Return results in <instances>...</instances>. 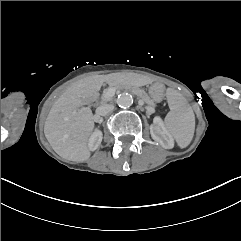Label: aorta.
<instances>
[{
    "label": "aorta",
    "instance_id": "obj_1",
    "mask_svg": "<svg viewBox=\"0 0 241 241\" xmlns=\"http://www.w3.org/2000/svg\"><path fill=\"white\" fill-rule=\"evenodd\" d=\"M116 102L119 107L128 108L133 104V98L129 93H122L118 96Z\"/></svg>",
    "mask_w": 241,
    "mask_h": 241
}]
</instances>
